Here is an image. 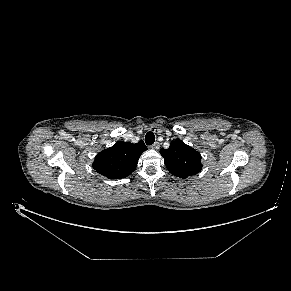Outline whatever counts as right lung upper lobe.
Returning a JSON list of instances; mask_svg holds the SVG:
<instances>
[{
  "mask_svg": "<svg viewBox=\"0 0 291 291\" xmlns=\"http://www.w3.org/2000/svg\"><path fill=\"white\" fill-rule=\"evenodd\" d=\"M146 149L142 140L135 144L118 141L96 155L93 168L109 179L125 178L135 170Z\"/></svg>",
  "mask_w": 291,
  "mask_h": 291,
  "instance_id": "1",
  "label": "right lung upper lobe"
}]
</instances>
